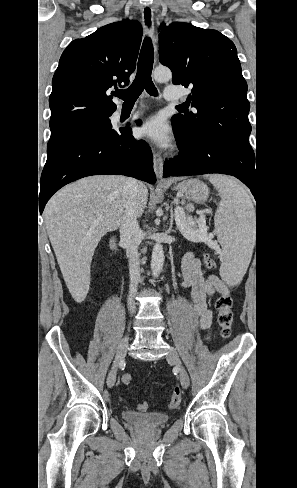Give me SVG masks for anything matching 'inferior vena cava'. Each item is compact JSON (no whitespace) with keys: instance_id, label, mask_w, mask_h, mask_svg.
Listing matches in <instances>:
<instances>
[{"instance_id":"602c4592","label":"inferior vena cava","mask_w":297,"mask_h":488,"mask_svg":"<svg viewBox=\"0 0 297 488\" xmlns=\"http://www.w3.org/2000/svg\"><path fill=\"white\" fill-rule=\"evenodd\" d=\"M139 188L140 184L137 180L133 178L126 180L123 188L124 215L120 225V239L126 249V256L129 261L130 289L128 309L131 313H134L136 309L133 297L141 279L138 246L142 241L143 234L139 228L136 215Z\"/></svg>"}]
</instances>
